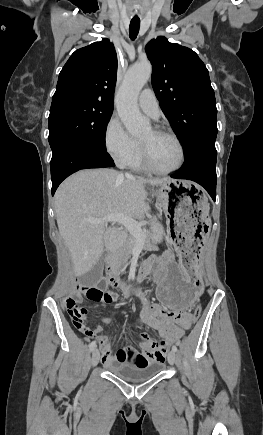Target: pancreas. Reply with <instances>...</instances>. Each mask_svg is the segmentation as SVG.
I'll return each instance as SVG.
<instances>
[{
  "label": "pancreas",
  "instance_id": "pancreas-1",
  "mask_svg": "<svg viewBox=\"0 0 263 435\" xmlns=\"http://www.w3.org/2000/svg\"><path fill=\"white\" fill-rule=\"evenodd\" d=\"M143 231L147 235V237L145 239L146 247L147 248H154L150 239L148 238L149 232L146 229H144ZM137 241H138V238L135 237L133 234L129 233V235L126 238L125 243L115 253V255L112 259V263H111L112 270L119 271L121 269H124L127 266L128 260L131 258L132 250H133L134 246L136 245Z\"/></svg>",
  "mask_w": 263,
  "mask_h": 435
}]
</instances>
